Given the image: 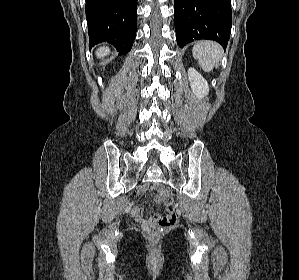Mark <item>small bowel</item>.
Returning a JSON list of instances; mask_svg holds the SVG:
<instances>
[{
    "instance_id": "1",
    "label": "small bowel",
    "mask_w": 299,
    "mask_h": 280,
    "mask_svg": "<svg viewBox=\"0 0 299 280\" xmlns=\"http://www.w3.org/2000/svg\"><path fill=\"white\" fill-rule=\"evenodd\" d=\"M132 216L134 217V219L140 223L143 227H147L151 221V219H145L140 211V209L138 207H134L132 209Z\"/></svg>"
}]
</instances>
